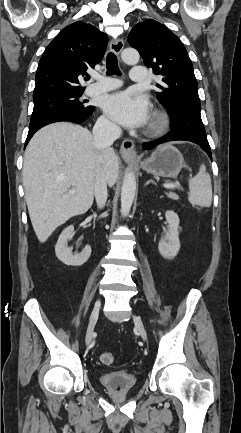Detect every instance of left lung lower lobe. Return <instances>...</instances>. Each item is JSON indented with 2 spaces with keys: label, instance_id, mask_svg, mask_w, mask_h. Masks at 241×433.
<instances>
[{
  "label": "left lung lower lobe",
  "instance_id": "0a47b994",
  "mask_svg": "<svg viewBox=\"0 0 241 433\" xmlns=\"http://www.w3.org/2000/svg\"><path fill=\"white\" fill-rule=\"evenodd\" d=\"M178 140H182V141H190L193 142L195 144H198L200 147H202L208 154V156L210 157V159H212V155H211V149L209 144L207 143H203L197 139H194L188 135H184V134H179V133H168L165 136H163L160 139H157L155 141L152 142H147V143H143V148L145 150L151 149L159 144L165 143V142H169V141H178Z\"/></svg>",
  "mask_w": 241,
  "mask_h": 433
}]
</instances>
